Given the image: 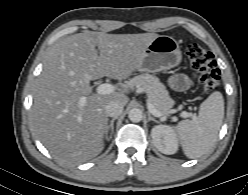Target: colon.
<instances>
[{
  "mask_svg": "<svg viewBox=\"0 0 248 195\" xmlns=\"http://www.w3.org/2000/svg\"><path fill=\"white\" fill-rule=\"evenodd\" d=\"M186 54L191 67L200 75L203 92H212L220 81V71L214 55L198 44H190Z\"/></svg>",
  "mask_w": 248,
  "mask_h": 195,
  "instance_id": "obj_1",
  "label": "colon"
}]
</instances>
